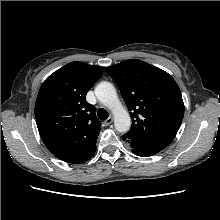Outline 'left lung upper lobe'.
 <instances>
[{
    "label": "left lung upper lobe",
    "instance_id": "left-lung-upper-lobe-1",
    "mask_svg": "<svg viewBox=\"0 0 220 220\" xmlns=\"http://www.w3.org/2000/svg\"><path fill=\"white\" fill-rule=\"evenodd\" d=\"M105 70L118 85L132 118L124 140L137 148L160 151L166 148L184 116L181 91L172 76L136 59Z\"/></svg>",
    "mask_w": 220,
    "mask_h": 220
}]
</instances>
